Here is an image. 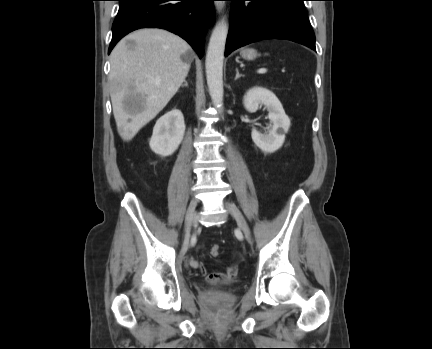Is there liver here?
<instances>
[{"label": "liver", "mask_w": 432, "mask_h": 349, "mask_svg": "<svg viewBox=\"0 0 432 349\" xmlns=\"http://www.w3.org/2000/svg\"><path fill=\"white\" fill-rule=\"evenodd\" d=\"M134 42L130 49L127 42ZM192 50L179 36L163 29H140L128 34L112 50L109 74L117 131L130 141L176 94L190 69L181 56ZM138 108L129 111L124 101Z\"/></svg>", "instance_id": "1"}]
</instances>
